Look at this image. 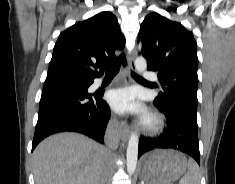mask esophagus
Instances as JSON below:
<instances>
[{"label":"esophagus","instance_id":"1","mask_svg":"<svg viewBox=\"0 0 235 184\" xmlns=\"http://www.w3.org/2000/svg\"><path fill=\"white\" fill-rule=\"evenodd\" d=\"M135 70H136L135 57L134 55H131L129 58L128 67L127 69L124 70V83L126 85L131 84L132 78H131L130 72L131 71L134 72ZM119 129H120V137H121L122 142L123 143L127 142L130 136V126L128 122L124 119H120Z\"/></svg>","mask_w":235,"mask_h":184}]
</instances>
